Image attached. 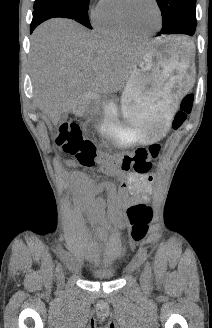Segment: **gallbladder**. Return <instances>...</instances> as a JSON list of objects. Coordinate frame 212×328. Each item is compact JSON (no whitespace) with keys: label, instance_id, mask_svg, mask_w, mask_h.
Masks as SVG:
<instances>
[{"label":"gallbladder","instance_id":"obj_1","mask_svg":"<svg viewBox=\"0 0 212 328\" xmlns=\"http://www.w3.org/2000/svg\"><path fill=\"white\" fill-rule=\"evenodd\" d=\"M67 117H68V113H62L61 118H60V122L65 121L67 119Z\"/></svg>","mask_w":212,"mask_h":328}]
</instances>
